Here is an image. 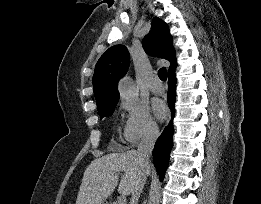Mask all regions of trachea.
I'll list each match as a JSON object with an SVG mask.
<instances>
[{"label": "trachea", "mask_w": 261, "mask_h": 204, "mask_svg": "<svg viewBox=\"0 0 261 204\" xmlns=\"http://www.w3.org/2000/svg\"><path fill=\"white\" fill-rule=\"evenodd\" d=\"M158 76L162 81H166L167 79V71L165 67H162L158 71Z\"/></svg>", "instance_id": "3493384b"}]
</instances>
